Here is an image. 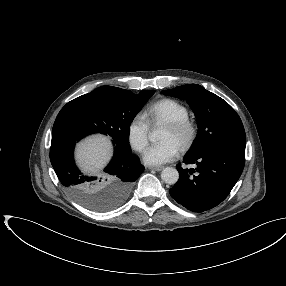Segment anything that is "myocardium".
Masks as SVG:
<instances>
[{"instance_id":"myocardium-1","label":"myocardium","mask_w":286,"mask_h":286,"mask_svg":"<svg viewBox=\"0 0 286 286\" xmlns=\"http://www.w3.org/2000/svg\"><path fill=\"white\" fill-rule=\"evenodd\" d=\"M165 126L183 135V139L180 144L181 150L189 149L197 139L199 131L198 125L195 120L189 117L168 121L165 123Z\"/></svg>"}]
</instances>
